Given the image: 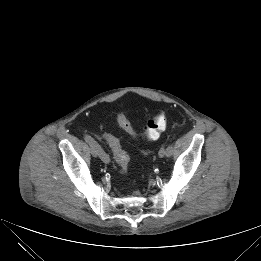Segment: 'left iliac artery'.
I'll return each instance as SVG.
<instances>
[{
  "instance_id": "left-iliac-artery-1",
  "label": "left iliac artery",
  "mask_w": 261,
  "mask_h": 261,
  "mask_svg": "<svg viewBox=\"0 0 261 261\" xmlns=\"http://www.w3.org/2000/svg\"><path fill=\"white\" fill-rule=\"evenodd\" d=\"M174 148H175V145L173 142L168 143L166 146V155L171 156L173 154Z\"/></svg>"
}]
</instances>
